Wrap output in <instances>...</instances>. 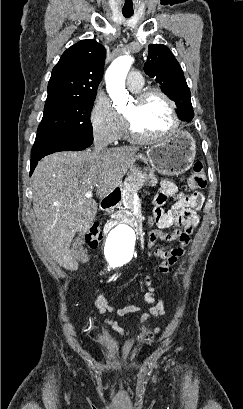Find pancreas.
<instances>
[{"label":"pancreas","instance_id":"pancreas-1","mask_svg":"<svg viewBox=\"0 0 243 409\" xmlns=\"http://www.w3.org/2000/svg\"><path fill=\"white\" fill-rule=\"evenodd\" d=\"M144 182V175L142 173L128 175L123 183L121 203L124 207H121V210L116 213H113V210L109 212L111 213L112 218H126L132 216L131 211L133 210L134 195L137 194Z\"/></svg>","mask_w":243,"mask_h":409}]
</instances>
